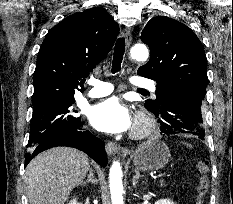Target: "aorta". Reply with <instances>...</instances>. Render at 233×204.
<instances>
[{
	"mask_svg": "<svg viewBox=\"0 0 233 204\" xmlns=\"http://www.w3.org/2000/svg\"><path fill=\"white\" fill-rule=\"evenodd\" d=\"M148 49L144 44H136L130 50V56L137 61L147 60ZM109 184L112 204H123L122 169L118 161H115L109 172Z\"/></svg>",
	"mask_w": 233,
	"mask_h": 204,
	"instance_id": "obj_1",
	"label": "aorta"
}]
</instances>
